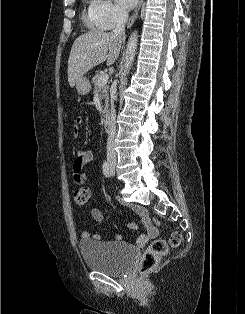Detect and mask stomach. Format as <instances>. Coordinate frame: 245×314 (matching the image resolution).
Masks as SVG:
<instances>
[{"instance_id": "1", "label": "stomach", "mask_w": 245, "mask_h": 314, "mask_svg": "<svg viewBox=\"0 0 245 314\" xmlns=\"http://www.w3.org/2000/svg\"><path fill=\"white\" fill-rule=\"evenodd\" d=\"M91 89L89 80L86 77H81L77 82H76V90L78 94L80 95H86L89 93Z\"/></svg>"}]
</instances>
